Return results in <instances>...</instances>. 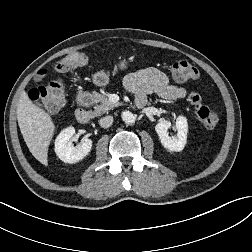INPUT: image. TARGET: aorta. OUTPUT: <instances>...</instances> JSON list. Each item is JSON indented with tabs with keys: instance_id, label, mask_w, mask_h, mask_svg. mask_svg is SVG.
Returning <instances> with one entry per match:
<instances>
[{
	"instance_id": "aorta-1",
	"label": "aorta",
	"mask_w": 252,
	"mask_h": 252,
	"mask_svg": "<svg viewBox=\"0 0 252 252\" xmlns=\"http://www.w3.org/2000/svg\"><path fill=\"white\" fill-rule=\"evenodd\" d=\"M122 119H123V121L125 122V123H127V124H132V123H134L135 122V116L131 113V112H129V111H124L123 113H122Z\"/></svg>"
}]
</instances>
